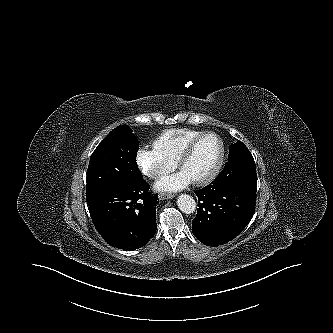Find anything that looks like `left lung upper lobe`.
<instances>
[{
	"mask_svg": "<svg viewBox=\"0 0 333 333\" xmlns=\"http://www.w3.org/2000/svg\"><path fill=\"white\" fill-rule=\"evenodd\" d=\"M228 162L225 168L229 169L228 173L236 175L237 183L252 189H257V174L255 162L252 154L241 141H237L229 148Z\"/></svg>",
	"mask_w": 333,
	"mask_h": 333,
	"instance_id": "5c2ea615",
	"label": "left lung upper lobe"
}]
</instances>
